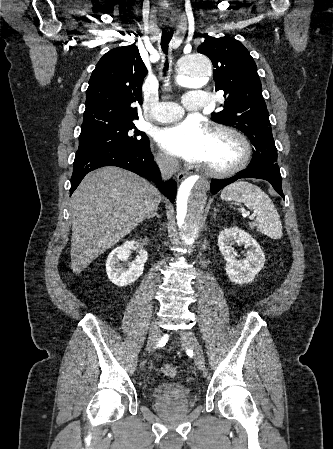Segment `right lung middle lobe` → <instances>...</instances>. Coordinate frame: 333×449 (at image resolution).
<instances>
[{"instance_id": "obj_1", "label": "right lung middle lobe", "mask_w": 333, "mask_h": 449, "mask_svg": "<svg viewBox=\"0 0 333 449\" xmlns=\"http://www.w3.org/2000/svg\"><path fill=\"white\" fill-rule=\"evenodd\" d=\"M148 143L146 134L138 130L131 120L82 126L79 136V149L117 148L140 151Z\"/></svg>"}]
</instances>
